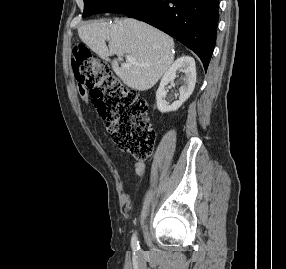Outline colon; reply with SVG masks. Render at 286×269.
<instances>
[{
  "mask_svg": "<svg viewBox=\"0 0 286 269\" xmlns=\"http://www.w3.org/2000/svg\"><path fill=\"white\" fill-rule=\"evenodd\" d=\"M72 69L77 82L89 90L112 140L138 161L147 160L156 138L146 117L147 101L137 91L121 84L106 63L81 42L72 48Z\"/></svg>",
  "mask_w": 286,
  "mask_h": 269,
  "instance_id": "5ec220e1",
  "label": "colon"
}]
</instances>
